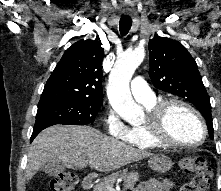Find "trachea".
<instances>
[{
	"label": "trachea",
	"mask_w": 221,
	"mask_h": 191,
	"mask_svg": "<svg viewBox=\"0 0 221 191\" xmlns=\"http://www.w3.org/2000/svg\"><path fill=\"white\" fill-rule=\"evenodd\" d=\"M132 26V19L131 18H120L119 21V30L122 36L128 34L130 28Z\"/></svg>",
	"instance_id": "1"
}]
</instances>
